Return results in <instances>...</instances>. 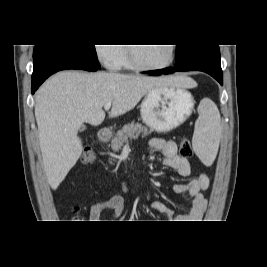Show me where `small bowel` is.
Returning a JSON list of instances; mask_svg holds the SVG:
<instances>
[{
  "mask_svg": "<svg viewBox=\"0 0 267 267\" xmlns=\"http://www.w3.org/2000/svg\"><path fill=\"white\" fill-rule=\"evenodd\" d=\"M149 147L159 151L164 156V164L175 170L181 176H189L191 167L188 160L180 156L177 152V145L174 141L154 138L149 141ZM209 177L205 173H199L188 183L176 184L173 191L177 194L186 193L192 199V207L187 213L181 216H175L174 212L166 205L160 202H153L151 207L164 215L168 220H176L174 222H195L202 218L206 210V199L202 191L209 186ZM123 191H128L126 181L122 182ZM113 210V218L118 219L124 212V198L115 194L107 199L94 201L85 216L86 220L98 222L101 213L106 210Z\"/></svg>",
  "mask_w": 267,
  "mask_h": 267,
  "instance_id": "1",
  "label": "small bowel"
}]
</instances>
